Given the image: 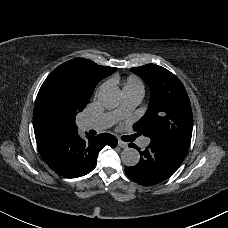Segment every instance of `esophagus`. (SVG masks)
Returning a JSON list of instances; mask_svg holds the SVG:
<instances>
[{
    "instance_id": "esophagus-1",
    "label": "esophagus",
    "mask_w": 228,
    "mask_h": 228,
    "mask_svg": "<svg viewBox=\"0 0 228 228\" xmlns=\"http://www.w3.org/2000/svg\"><path fill=\"white\" fill-rule=\"evenodd\" d=\"M118 146L121 147V148H127L128 147V144L122 140H118Z\"/></svg>"
}]
</instances>
